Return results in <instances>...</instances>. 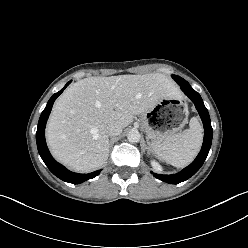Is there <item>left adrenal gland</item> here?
I'll use <instances>...</instances> for the list:
<instances>
[{
    "label": "left adrenal gland",
    "mask_w": 248,
    "mask_h": 248,
    "mask_svg": "<svg viewBox=\"0 0 248 248\" xmlns=\"http://www.w3.org/2000/svg\"><path fill=\"white\" fill-rule=\"evenodd\" d=\"M149 144V147H148V154H150L152 151H151V147H150V143L148 142Z\"/></svg>",
    "instance_id": "1"
}]
</instances>
